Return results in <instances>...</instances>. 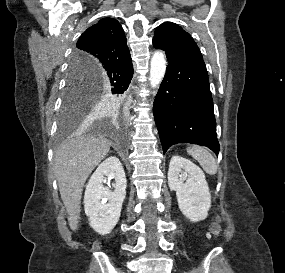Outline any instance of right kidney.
<instances>
[{"mask_svg": "<svg viewBox=\"0 0 285 273\" xmlns=\"http://www.w3.org/2000/svg\"><path fill=\"white\" fill-rule=\"evenodd\" d=\"M106 177L114 179L105 187ZM126 177L121 162L115 156L105 159L92 174L85 190L84 207L89 225L101 235L109 234L116 226L126 196Z\"/></svg>", "mask_w": 285, "mask_h": 273, "instance_id": "1", "label": "right kidney"}]
</instances>
